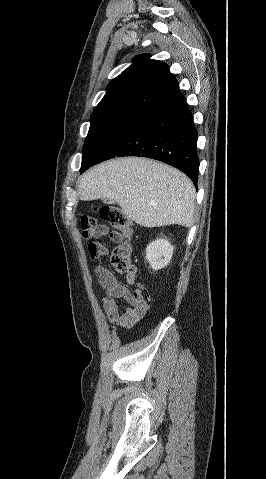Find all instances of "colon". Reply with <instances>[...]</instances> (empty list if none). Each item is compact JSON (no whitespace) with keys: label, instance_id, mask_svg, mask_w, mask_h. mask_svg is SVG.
I'll use <instances>...</instances> for the list:
<instances>
[{"label":"colon","instance_id":"5ec220e1","mask_svg":"<svg viewBox=\"0 0 266 479\" xmlns=\"http://www.w3.org/2000/svg\"><path fill=\"white\" fill-rule=\"evenodd\" d=\"M100 220L92 216H84L81 224L86 237H95L106 230L105 223L110 225L117 234L121 235L120 243L114 248L111 255V264L122 274H131L134 271L132 263L133 229L126 215L115 207H101L97 210ZM91 258H101L107 250L101 243L91 241L87 246Z\"/></svg>","mask_w":266,"mask_h":479}]
</instances>
